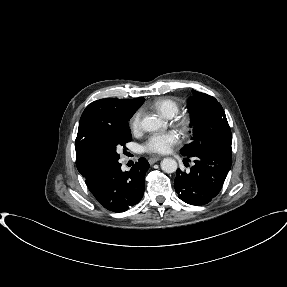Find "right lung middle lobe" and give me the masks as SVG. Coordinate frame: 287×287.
<instances>
[{
    "label": "right lung middle lobe",
    "instance_id": "obj_1",
    "mask_svg": "<svg viewBox=\"0 0 287 287\" xmlns=\"http://www.w3.org/2000/svg\"><path fill=\"white\" fill-rule=\"evenodd\" d=\"M131 141L128 120L112 125L99 133L95 139V157L100 165L119 159L117 149Z\"/></svg>",
    "mask_w": 287,
    "mask_h": 287
}]
</instances>
